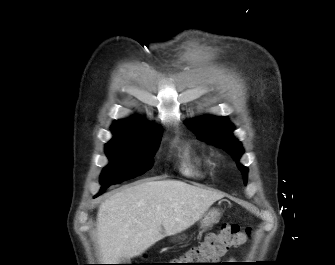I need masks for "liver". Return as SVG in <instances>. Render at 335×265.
<instances>
[{"instance_id": "1", "label": "liver", "mask_w": 335, "mask_h": 265, "mask_svg": "<svg viewBox=\"0 0 335 265\" xmlns=\"http://www.w3.org/2000/svg\"><path fill=\"white\" fill-rule=\"evenodd\" d=\"M222 193L177 180L144 181L100 204L97 238L103 262L139 256L164 238L198 221Z\"/></svg>"}]
</instances>
